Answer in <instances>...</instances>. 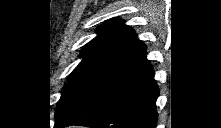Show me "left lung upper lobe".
Masks as SVG:
<instances>
[{"instance_id": "obj_1", "label": "left lung upper lobe", "mask_w": 221, "mask_h": 128, "mask_svg": "<svg viewBox=\"0 0 221 128\" xmlns=\"http://www.w3.org/2000/svg\"><path fill=\"white\" fill-rule=\"evenodd\" d=\"M85 45L83 60L67 79L55 110V125L65 122L99 99L146 58V47L119 19L101 25Z\"/></svg>"}]
</instances>
